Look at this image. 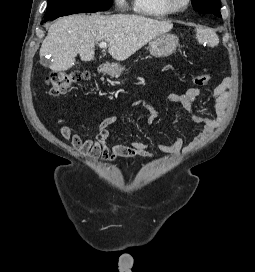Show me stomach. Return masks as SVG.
Wrapping results in <instances>:
<instances>
[{"label": "stomach", "mask_w": 255, "mask_h": 272, "mask_svg": "<svg viewBox=\"0 0 255 272\" xmlns=\"http://www.w3.org/2000/svg\"><path fill=\"white\" fill-rule=\"evenodd\" d=\"M178 46V38L171 33H163L155 37L149 43L150 54L154 57H168L172 55ZM124 70L120 64L108 66V73L112 77H119Z\"/></svg>", "instance_id": "stomach-1"}]
</instances>
